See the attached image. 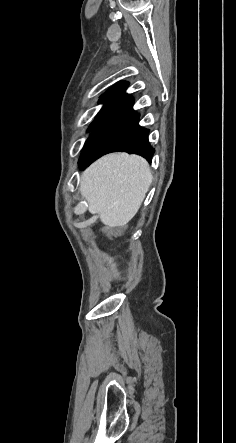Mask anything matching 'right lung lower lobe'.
Segmentation results:
<instances>
[{
	"instance_id": "1",
	"label": "right lung lower lobe",
	"mask_w": 236,
	"mask_h": 443,
	"mask_svg": "<svg viewBox=\"0 0 236 443\" xmlns=\"http://www.w3.org/2000/svg\"><path fill=\"white\" fill-rule=\"evenodd\" d=\"M133 99L125 92L109 98L90 129L95 132L88 138L79 158L83 170L100 156L114 151L138 154L151 162L154 149L148 142V129L139 126V114L133 110Z\"/></svg>"
}]
</instances>
